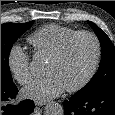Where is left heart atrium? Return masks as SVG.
I'll list each match as a JSON object with an SVG mask.
<instances>
[{
  "label": "left heart atrium",
  "mask_w": 115,
  "mask_h": 115,
  "mask_svg": "<svg viewBox=\"0 0 115 115\" xmlns=\"http://www.w3.org/2000/svg\"><path fill=\"white\" fill-rule=\"evenodd\" d=\"M63 83L54 75H46L31 82L23 91L24 97L45 101L60 95L64 90Z\"/></svg>",
  "instance_id": "39dd6f15"
}]
</instances>
